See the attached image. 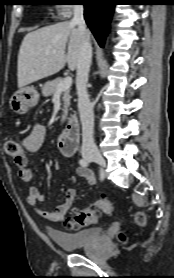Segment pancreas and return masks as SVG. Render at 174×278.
Returning a JSON list of instances; mask_svg holds the SVG:
<instances>
[{
    "label": "pancreas",
    "instance_id": "pancreas-1",
    "mask_svg": "<svg viewBox=\"0 0 174 278\" xmlns=\"http://www.w3.org/2000/svg\"><path fill=\"white\" fill-rule=\"evenodd\" d=\"M63 79L61 77L52 80V81H48L44 84V86L42 87V94L45 97L51 96L54 93H56L57 91V86L58 84L62 81ZM63 97V115H62V120H65L67 118L68 115V108L70 107V89H66L64 91H62Z\"/></svg>",
    "mask_w": 174,
    "mask_h": 278
}]
</instances>
